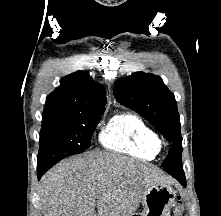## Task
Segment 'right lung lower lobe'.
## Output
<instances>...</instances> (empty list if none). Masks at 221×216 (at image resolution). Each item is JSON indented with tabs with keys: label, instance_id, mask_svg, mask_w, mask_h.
Instances as JSON below:
<instances>
[{
	"label": "right lung lower lobe",
	"instance_id": "1",
	"mask_svg": "<svg viewBox=\"0 0 221 216\" xmlns=\"http://www.w3.org/2000/svg\"><path fill=\"white\" fill-rule=\"evenodd\" d=\"M52 166H38L37 167V174H38V179L41 178V176Z\"/></svg>",
	"mask_w": 221,
	"mask_h": 216
}]
</instances>
